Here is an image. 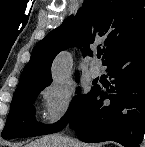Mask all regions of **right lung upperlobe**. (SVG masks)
Wrapping results in <instances>:
<instances>
[{"mask_svg":"<svg viewBox=\"0 0 145 147\" xmlns=\"http://www.w3.org/2000/svg\"><path fill=\"white\" fill-rule=\"evenodd\" d=\"M145 28L144 0H85L77 15L66 18L33 49L15 91L51 83L55 56L72 45L92 56L90 44L101 41L103 62L125 41Z\"/></svg>","mask_w":145,"mask_h":147,"instance_id":"right-lung-upper-lobe-1","label":"right lung upper lobe"}]
</instances>
